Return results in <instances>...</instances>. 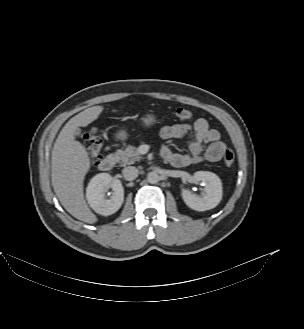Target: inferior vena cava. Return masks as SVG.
Wrapping results in <instances>:
<instances>
[{
    "instance_id": "inferior-vena-cava-1",
    "label": "inferior vena cava",
    "mask_w": 304,
    "mask_h": 329,
    "mask_svg": "<svg viewBox=\"0 0 304 329\" xmlns=\"http://www.w3.org/2000/svg\"><path fill=\"white\" fill-rule=\"evenodd\" d=\"M138 172V169L134 166L125 167L122 171L124 178L128 181H132L137 178Z\"/></svg>"
}]
</instances>
